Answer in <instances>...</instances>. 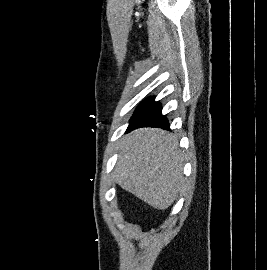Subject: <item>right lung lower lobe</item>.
<instances>
[{"label":"right lung lower lobe","mask_w":267,"mask_h":270,"mask_svg":"<svg viewBox=\"0 0 267 270\" xmlns=\"http://www.w3.org/2000/svg\"><path fill=\"white\" fill-rule=\"evenodd\" d=\"M161 110V104L155 102L154 97L147 98L135 110L126 132L140 127L169 129L168 120L162 115Z\"/></svg>","instance_id":"98d812e1"}]
</instances>
